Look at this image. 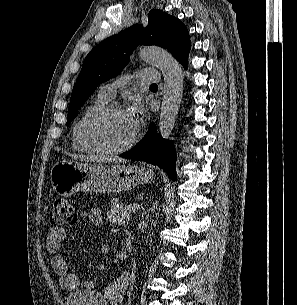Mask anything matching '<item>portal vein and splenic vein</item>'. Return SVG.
Masks as SVG:
<instances>
[{
  "instance_id": "portal-vein-and-splenic-vein-1",
  "label": "portal vein and splenic vein",
  "mask_w": 297,
  "mask_h": 305,
  "mask_svg": "<svg viewBox=\"0 0 297 305\" xmlns=\"http://www.w3.org/2000/svg\"><path fill=\"white\" fill-rule=\"evenodd\" d=\"M137 209H138V205L137 204H133V205L129 206L130 212H135Z\"/></svg>"
}]
</instances>
